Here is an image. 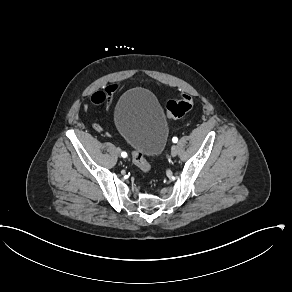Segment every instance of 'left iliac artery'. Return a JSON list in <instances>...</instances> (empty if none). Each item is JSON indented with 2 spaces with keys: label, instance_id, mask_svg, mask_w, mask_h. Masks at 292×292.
Wrapping results in <instances>:
<instances>
[{
  "label": "left iliac artery",
  "instance_id": "1",
  "mask_svg": "<svg viewBox=\"0 0 292 292\" xmlns=\"http://www.w3.org/2000/svg\"><path fill=\"white\" fill-rule=\"evenodd\" d=\"M172 141H173L174 143H177L178 138H177V137H173V138H172Z\"/></svg>",
  "mask_w": 292,
  "mask_h": 292
}]
</instances>
